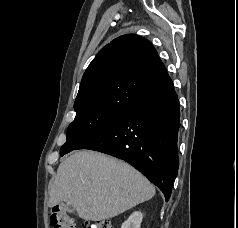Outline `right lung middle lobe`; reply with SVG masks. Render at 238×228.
<instances>
[{"mask_svg": "<svg viewBox=\"0 0 238 228\" xmlns=\"http://www.w3.org/2000/svg\"><path fill=\"white\" fill-rule=\"evenodd\" d=\"M127 109H86L76 112L74 121L67 130V141L60 149V155L76 149L102 131Z\"/></svg>", "mask_w": 238, "mask_h": 228, "instance_id": "1", "label": "right lung middle lobe"}]
</instances>
